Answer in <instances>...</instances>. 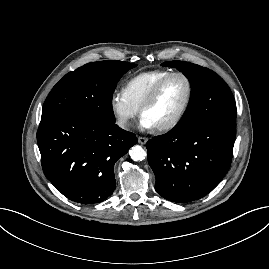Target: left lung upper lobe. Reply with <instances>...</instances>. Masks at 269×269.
<instances>
[{"label":"left lung upper lobe","mask_w":269,"mask_h":269,"mask_svg":"<svg viewBox=\"0 0 269 269\" xmlns=\"http://www.w3.org/2000/svg\"><path fill=\"white\" fill-rule=\"evenodd\" d=\"M162 65L181 71L190 81L192 88L188 109L174 130L184 131L215 118H236L233 94L215 72L184 61H168Z\"/></svg>","instance_id":"obj_1"}]
</instances>
